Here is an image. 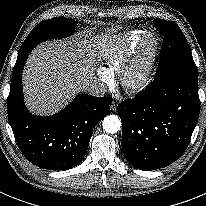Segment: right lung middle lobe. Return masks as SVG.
Here are the masks:
<instances>
[{
    "label": "right lung middle lobe",
    "instance_id": "1",
    "mask_svg": "<svg viewBox=\"0 0 206 206\" xmlns=\"http://www.w3.org/2000/svg\"><path fill=\"white\" fill-rule=\"evenodd\" d=\"M74 24L75 21L69 18H53L40 22L22 44L17 61L44 40L69 36L74 31Z\"/></svg>",
    "mask_w": 206,
    "mask_h": 206
}]
</instances>
